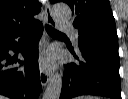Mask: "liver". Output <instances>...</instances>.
<instances>
[{"mask_svg":"<svg viewBox=\"0 0 128 99\" xmlns=\"http://www.w3.org/2000/svg\"><path fill=\"white\" fill-rule=\"evenodd\" d=\"M0 99H6V98H5L4 96H1V95H0Z\"/></svg>","mask_w":128,"mask_h":99,"instance_id":"liver-1","label":"liver"}]
</instances>
